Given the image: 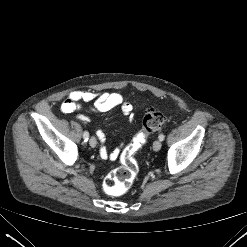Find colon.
Listing matches in <instances>:
<instances>
[{
    "label": "colon",
    "mask_w": 247,
    "mask_h": 247,
    "mask_svg": "<svg viewBox=\"0 0 247 247\" xmlns=\"http://www.w3.org/2000/svg\"><path fill=\"white\" fill-rule=\"evenodd\" d=\"M164 122V115L155 109H150L145 114L142 128L121 154V166L112 170L104 180V189L108 194L121 195L130 187L138 173L135 153L151 133L162 129Z\"/></svg>",
    "instance_id": "colon-1"
}]
</instances>
